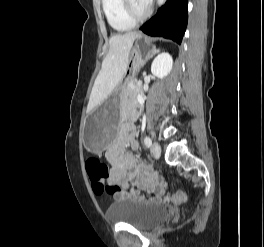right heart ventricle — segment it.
I'll return each instance as SVG.
<instances>
[{"label":"right heart ventricle","mask_w":264,"mask_h":247,"mask_svg":"<svg viewBox=\"0 0 264 247\" xmlns=\"http://www.w3.org/2000/svg\"><path fill=\"white\" fill-rule=\"evenodd\" d=\"M102 8L108 23L116 31L123 32L134 27L135 22L125 14L123 0H102Z\"/></svg>","instance_id":"e07e8e85"}]
</instances>
